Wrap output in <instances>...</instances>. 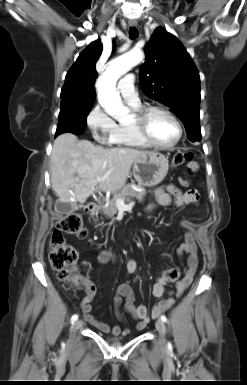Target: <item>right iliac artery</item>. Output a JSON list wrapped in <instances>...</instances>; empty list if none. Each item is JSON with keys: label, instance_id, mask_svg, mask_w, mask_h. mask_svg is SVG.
Wrapping results in <instances>:
<instances>
[{"label": "right iliac artery", "instance_id": "obj_1", "mask_svg": "<svg viewBox=\"0 0 247 385\" xmlns=\"http://www.w3.org/2000/svg\"><path fill=\"white\" fill-rule=\"evenodd\" d=\"M78 319V315L77 314H74L72 317H71V322L73 323L74 321H76Z\"/></svg>", "mask_w": 247, "mask_h": 385}]
</instances>
